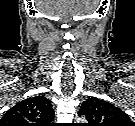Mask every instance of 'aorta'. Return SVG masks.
Masks as SVG:
<instances>
[{
	"label": "aorta",
	"instance_id": "aorta-1",
	"mask_svg": "<svg viewBox=\"0 0 135 126\" xmlns=\"http://www.w3.org/2000/svg\"><path fill=\"white\" fill-rule=\"evenodd\" d=\"M77 121H85L84 119H78Z\"/></svg>",
	"mask_w": 135,
	"mask_h": 126
}]
</instances>
